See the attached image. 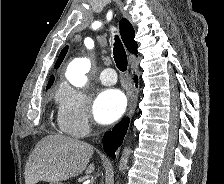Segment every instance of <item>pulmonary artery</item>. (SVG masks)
I'll return each instance as SVG.
<instances>
[{"label": "pulmonary artery", "instance_id": "e3ab8cb5", "mask_svg": "<svg viewBox=\"0 0 224 184\" xmlns=\"http://www.w3.org/2000/svg\"><path fill=\"white\" fill-rule=\"evenodd\" d=\"M99 79L102 84L106 86L114 85L117 81V75L114 69L106 68L101 71Z\"/></svg>", "mask_w": 224, "mask_h": 184}]
</instances>
